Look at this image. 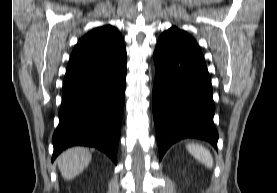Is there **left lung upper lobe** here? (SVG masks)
I'll list each match as a JSON object with an SVG mask.
<instances>
[{"mask_svg":"<svg viewBox=\"0 0 277 193\" xmlns=\"http://www.w3.org/2000/svg\"><path fill=\"white\" fill-rule=\"evenodd\" d=\"M161 37H167L172 40H175L183 45H186L188 47L200 50L198 44L196 43L195 39H193L190 35H188L186 32L179 30L176 27H171L167 31H165Z\"/></svg>","mask_w":277,"mask_h":193,"instance_id":"1","label":"left lung upper lobe"}]
</instances>
